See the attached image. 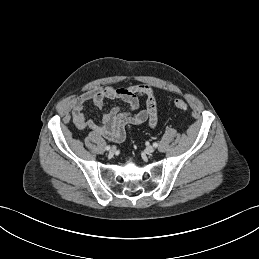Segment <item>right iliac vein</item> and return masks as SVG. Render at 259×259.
Returning a JSON list of instances; mask_svg holds the SVG:
<instances>
[{"label":"right iliac vein","instance_id":"right-iliac-vein-1","mask_svg":"<svg viewBox=\"0 0 259 259\" xmlns=\"http://www.w3.org/2000/svg\"><path fill=\"white\" fill-rule=\"evenodd\" d=\"M116 152V148L115 147H112L109 151V154L110 155H113L114 153Z\"/></svg>","mask_w":259,"mask_h":259}]
</instances>
